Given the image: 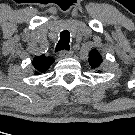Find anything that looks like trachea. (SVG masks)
I'll use <instances>...</instances> for the list:
<instances>
[{"instance_id": "3493384b", "label": "trachea", "mask_w": 135, "mask_h": 135, "mask_svg": "<svg viewBox=\"0 0 135 135\" xmlns=\"http://www.w3.org/2000/svg\"><path fill=\"white\" fill-rule=\"evenodd\" d=\"M69 43H70V33L68 30H63L60 33V40L56 45L55 51H61V50H69Z\"/></svg>"}]
</instances>
